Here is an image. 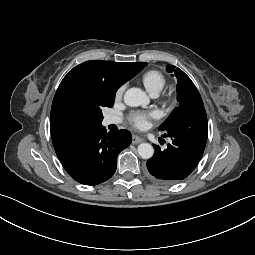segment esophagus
<instances>
[{"label":"esophagus","mask_w":255,"mask_h":255,"mask_svg":"<svg viewBox=\"0 0 255 255\" xmlns=\"http://www.w3.org/2000/svg\"><path fill=\"white\" fill-rule=\"evenodd\" d=\"M143 140L139 137V136H137V135H133V137H132V143L133 144H139V143H141Z\"/></svg>","instance_id":"esophagus-1"}]
</instances>
